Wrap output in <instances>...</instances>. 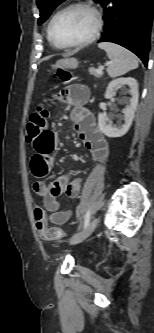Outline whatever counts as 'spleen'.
Segmentation results:
<instances>
[{
    "mask_svg": "<svg viewBox=\"0 0 154 333\" xmlns=\"http://www.w3.org/2000/svg\"><path fill=\"white\" fill-rule=\"evenodd\" d=\"M100 49L106 51L110 64L107 73L110 77H118L136 69L139 65L138 58L129 50L114 43L102 42L98 44Z\"/></svg>",
    "mask_w": 154,
    "mask_h": 333,
    "instance_id": "spleen-1",
    "label": "spleen"
}]
</instances>
